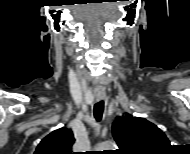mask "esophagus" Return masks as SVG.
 <instances>
[{"mask_svg": "<svg viewBox=\"0 0 190 154\" xmlns=\"http://www.w3.org/2000/svg\"><path fill=\"white\" fill-rule=\"evenodd\" d=\"M95 97L97 100H102L105 97V91L104 90H98L95 91Z\"/></svg>", "mask_w": 190, "mask_h": 154, "instance_id": "obj_1", "label": "esophagus"}]
</instances>
